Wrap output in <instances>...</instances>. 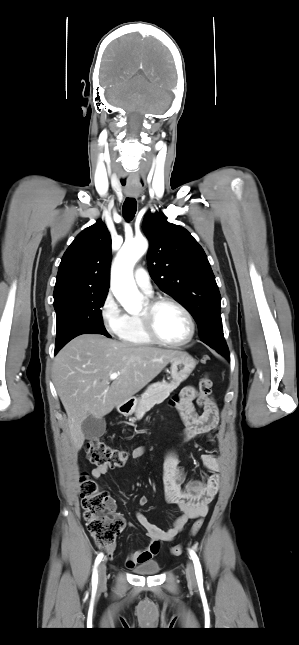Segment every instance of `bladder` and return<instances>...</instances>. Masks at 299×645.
<instances>
[{"mask_svg": "<svg viewBox=\"0 0 299 645\" xmlns=\"http://www.w3.org/2000/svg\"><path fill=\"white\" fill-rule=\"evenodd\" d=\"M133 570L138 574L151 575L160 571V565L156 561H147L135 566Z\"/></svg>", "mask_w": 299, "mask_h": 645, "instance_id": "obj_1", "label": "bladder"}]
</instances>
